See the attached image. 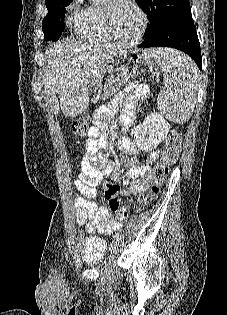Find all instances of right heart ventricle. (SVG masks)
Masks as SVG:
<instances>
[{"label": "right heart ventricle", "mask_w": 227, "mask_h": 315, "mask_svg": "<svg viewBox=\"0 0 227 315\" xmlns=\"http://www.w3.org/2000/svg\"><path fill=\"white\" fill-rule=\"evenodd\" d=\"M77 34L89 41H110L103 22V6L91 4L79 8L72 16Z\"/></svg>", "instance_id": "e07e8e85"}]
</instances>
